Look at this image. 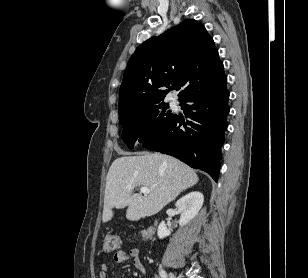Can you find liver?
I'll use <instances>...</instances> for the list:
<instances>
[{"label": "liver", "instance_id": "6515ba94", "mask_svg": "<svg viewBox=\"0 0 308 278\" xmlns=\"http://www.w3.org/2000/svg\"><path fill=\"white\" fill-rule=\"evenodd\" d=\"M198 180L192 168L166 154L119 157L106 177L102 220L112 219L113 207H128L126 218L131 221L152 216ZM137 186L148 187L149 194H135Z\"/></svg>", "mask_w": 308, "mask_h": 278}]
</instances>
